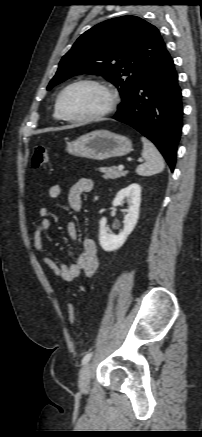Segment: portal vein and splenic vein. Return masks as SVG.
<instances>
[{"label": "portal vein and splenic vein", "mask_w": 202, "mask_h": 437, "mask_svg": "<svg viewBox=\"0 0 202 437\" xmlns=\"http://www.w3.org/2000/svg\"><path fill=\"white\" fill-rule=\"evenodd\" d=\"M123 169H124V166H123V165H119V166H118V170H119V171H122Z\"/></svg>", "instance_id": "1"}]
</instances>
